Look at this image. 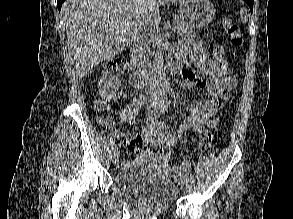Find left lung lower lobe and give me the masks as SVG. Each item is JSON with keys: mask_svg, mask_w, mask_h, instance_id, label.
Masks as SVG:
<instances>
[{"mask_svg": "<svg viewBox=\"0 0 293 219\" xmlns=\"http://www.w3.org/2000/svg\"><path fill=\"white\" fill-rule=\"evenodd\" d=\"M250 8L251 13L253 12V0H244Z\"/></svg>", "mask_w": 293, "mask_h": 219, "instance_id": "0a47b994", "label": "left lung lower lobe"}]
</instances>
